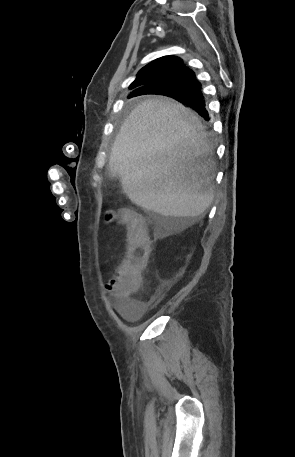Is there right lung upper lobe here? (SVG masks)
<instances>
[{
	"label": "right lung upper lobe",
	"instance_id": "1",
	"mask_svg": "<svg viewBox=\"0 0 295 457\" xmlns=\"http://www.w3.org/2000/svg\"><path fill=\"white\" fill-rule=\"evenodd\" d=\"M185 68L183 61L175 56H164L158 58L145 67L137 74V78L130 85L134 91L149 85L163 83L176 78ZM133 91V92H134Z\"/></svg>",
	"mask_w": 295,
	"mask_h": 457
}]
</instances>
